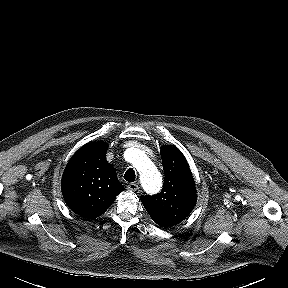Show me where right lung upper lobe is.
Returning <instances> with one entry per match:
<instances>
[{
    "label": "right lung upper lobe",
    "mask_w": 288,
    "mask_h": 288,
    "mask_svg": "<svg viewBox=\"0 0 288 288\" xmlns=\"http://www.w3.org/2000/svg\"><path fill=\"white\" fill-rule=\"evenodd\" d=\"M106 143H89L68 163L62 177V194L76 214L94 219L102 215L124 190L116 171L106 160Z\"/></svg>",
    "instance_id": "obj_1"
}]
</instances>
